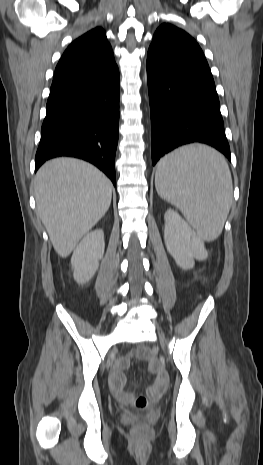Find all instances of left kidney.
<instances>
[{"instance_id":"obj_1","label":"left kidney","mask_w":263,"mask_h":465,"mask_svg":"<svg viewBox=\"0 0 263 465\" xmlns=\"http://www.w3.org/2000/svg\"><path fill=\"white\" fill-rule=\"evenodd\" d=\"M164 220L165 245L180 268L191 269L194 266V259L207 258L208 253L203 240L177 212L168 209Z\"/></svg>"}]
</instances>
